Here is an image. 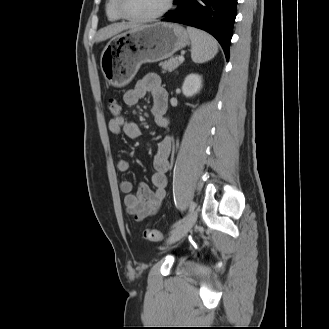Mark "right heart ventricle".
Here are the masks:
<instances>
[{"label": "right heart ventricle", "mask_w": 329, "mask_h": 329, "mask_svg": "<svg viewBox=\"0 0 329 329\" xmlns=\"http://www.w3.org/2000/svg\"><path fill=\"white\" fill-rule=\"evenodd\" d=\"M106 13L110 21H119L123 17L119 14L116 6V0H108L106 4Z\"/></svg>", "instance_id": "e07e8e85"}]
</instances>
